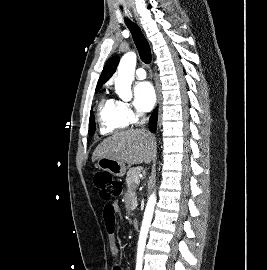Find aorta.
I'll return each instance as SVG.
<instances>
[{
	"label": "aorta",
	"mask_w": 267,
	"mask_h": 270,
	"mask_svg": "<svg viewBox=\"0 0 267 270\" xmlns=\"http://www.w3.org/2000/svg\"><path fill=\"white\" fill-rule=\"evenodd\" d=\"M136 59V54L134 52H128L121 58L118 65L117 77L115 79V92L123 100H130L132 98L131 85L134 79ZM155 204L156 195L153 193L147 201L139 235L137 262L140 263L142 262L148 230L151 224Z\"/></svg>",
	"instance_id": "aorta-1"
}]
</instances>
